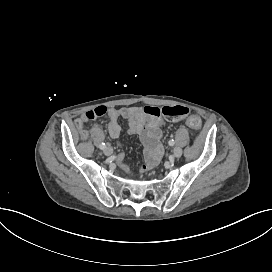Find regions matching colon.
Listing matches in <instances>:
<instances>
[{
	"instance_id": "1",
	"label": "colon",
	"mask_w": 272,
	"mask_h": 272,
	"mask_svg": "<svg viewBox=\"0 0 272 272\" xmlns=\"http://www.w3.org/2000/svg\"><path fill=\"white\" fill-rule=\"evenodd\" d=\"M108 109L106 106L100 105L89 109L83 116V120L77 121V125L82 129L83 124L87 120H93L98 117H103L107 114ZM188 114V108L184 105H166V106H154L149 107L146 111V115L149 117H166L168 119H182ZM199 119L193 117L188 120V126L193 129L199 127ZM86 137V133L83 134Z\"/></svg>"
}]
</instances>
